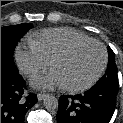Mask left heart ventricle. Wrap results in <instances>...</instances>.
<instances>
[{"label":"left heart ventricle","mask_w":123,"mask_h":123,"mask_svg":"<svg viewBox=\"0 0 123 123\" xmlns=\"http://www.w3.org/2000/svg\"><path fill=\"white\" fill-rule=\"evenodd\" d=\"M103 59L101 48L96 44L79 47L69 56L53 65L63 85L77 86L88 82L99 70Z\"/></svg>","instance_id":"1"}]
</instances>
